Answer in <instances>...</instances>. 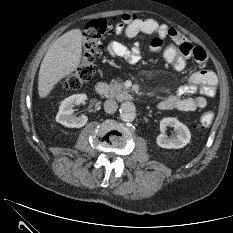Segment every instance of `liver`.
<instances>
[{
	"instance_id": "liver-1",
	"label": "liver",
	"mask_w": 233,
	"mask_h": 233,
	"mask_svg": "<svg viewBox=\"0 0 233 233\" xmlns=\"http://www.w3.org/2000/svg\"><path fill=\"white\" fill-rule=\"evenodd\" d=\"M82 31L73 29L60 36L46 52L39 70L38 93L47 97L55 85L75 71L82 58Z\"/></svg>"
}]
</instances>
